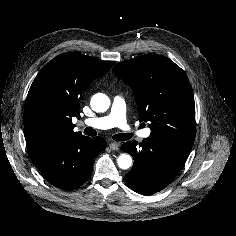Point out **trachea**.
I'll use <instances>...</instances> for the list:
<instances>
[{"mask_svg":"<svg viewBox=\"0 0 236 236\" xmlns=\"http://www.w3.org/2000/svg\"><path fill=\"white\" fill-rule=\"evenodd\" d=\"M84 134L85 135H88V136H96L97 132L91 128V127H86L84 129ZM132 137V134H128V133H125V134H115L113 135V139L116 140V141H125V140H128Z\"/></svg>","mask_w":236,"mask_h":236,"instance_id":"1","label":"trachea"}]
</instances>
